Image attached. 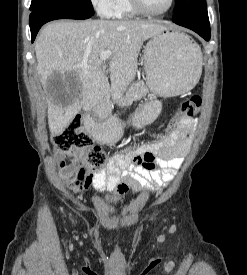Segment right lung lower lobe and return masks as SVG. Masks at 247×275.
<instances>
[{
	"label": "right lung lower lobe",
	"instance_id": "98d812e1",
	"mask_svg": "<svg viewBox=\"0 0 247 275\" xmlns=\"http://www.w3.org/2000/svg\"><path fill=\"white\" fill-rule=\"evenodd\" d=\"M90 17H92V15L57 8L34 11L30 14L29 18L32 42L41 26L49 21L56 19H88Z\"/></svg>",
	"mask_w": 247,
	"mask_h": 275
}]
</instances>
